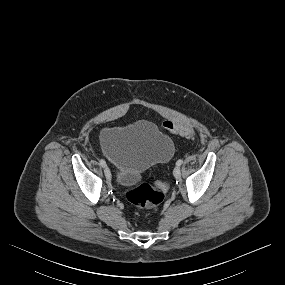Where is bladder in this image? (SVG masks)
<instances>
[{
	"label": "bladder",
	"instance_id": "31cf9c89",
	"mask_svg": "<svg viewBox=\"0 0 285 285\" xmlns=\"http://www.w3.org/2000/svg\"><path fill=\"white\" fill-rule=\"evenodd\" d=\"M100 140L104 155L114 167L116 182L124 188L133 187L144 171L168 161L174 153L171 138L148 120L106 128Z\"/></svg>",
	"mask_w": 285,
	"mask_h": 285
}]
</instances>
